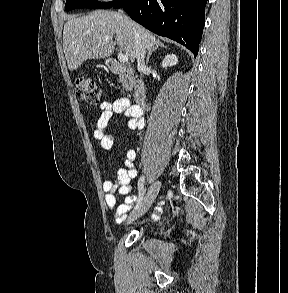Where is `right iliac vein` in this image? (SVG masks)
Returning <instances> with one entry per match:
<instances>
[{"instance_id": "1", "label": "right iliac vein", "mask_w": 288, "mask_h": 293, "mask_svg": "<svg viewBox=\"0 0 288 293\" xmlns=\"http://www.w3.org/2000/svg\"><path fill=\"white\" fill-rule=\"evenodd\" d=\"M160 187H161L160 181H156L151 185L149 191L147 192V194H146L145 198L143 199L142 203L140 204V206L137 209H135L131 213V215L129 216V218L126 222L127 225L130 224L135 219H137L138 217H141L142 215L145 214V212L151 207L156 196L158 195Z\"/></svg>"}]
</instances>
